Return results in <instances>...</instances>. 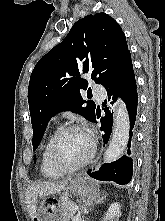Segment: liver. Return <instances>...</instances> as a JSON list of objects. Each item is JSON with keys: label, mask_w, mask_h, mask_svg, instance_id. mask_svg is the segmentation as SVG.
Wrapping results in <instances>:
<instances>
[{"label": "liver", "mask_w": 165, "mask_h": 221, "mask_svg": "<svg viewBox=\"0 0 165 221\" xmlns=\"http://www.w3.org/2000/svg\"><path fill=\"white\" fill-rule=\"evenodd\" d=\"M67 184L68 180H64L56 183L39 182L30 186L27 189L25 196L30 217L33 219L36 214L37 198L39 196H48L56 192H60L67 186Z\"/></svg>", "instance_id": "6515ba94"}]
</instances>
